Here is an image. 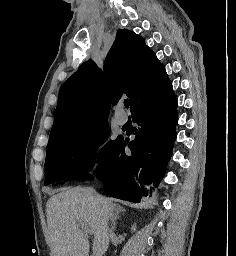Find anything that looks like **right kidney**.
I'll use <instances>...</instances> for the list:
<instances>
[{"label":"right kidney","mask_w":236,"mask_h":256,"mask_svg":"<svg viewBox=\"0 0 236 256\" xmlns=\"http://www.w3.org/2000/svg\"><path fill=\"white\" fill-rule=\"evenodd\" d=\"M131 230H132V232H135V230H136V224H133Z\"/></svg>","instance_id":"ca27d5eb"}]
</instances>
